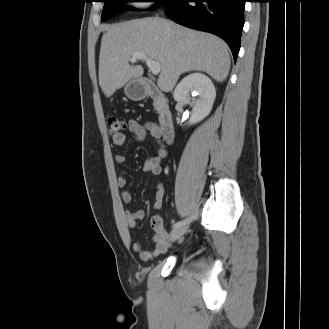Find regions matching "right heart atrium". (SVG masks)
Segmentation results:
<instances>
[{"instance_id":"d8ad5b80","label":"right heart atrium","mask_w":329,"mask_h":329,"mask_svg":"<svg viewBox=\"0 0 329 329\" xmlns=\"http://www.w3.org/2000/svg\"><path fill=\"white\" fill-rule=\"evenodd\" d=\"M145 5H146V4H143V3H137V4H136L137 7H143V6H145Z\"/></svg>"}]
</instances>
